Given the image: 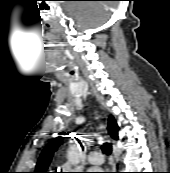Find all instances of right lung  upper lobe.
I'll return each instance as SVG.
<instances>
[{
	"label": "right lung upper lobe",
	"mask_w": 170,
	"mask_h": 173,
	"mask_svg": "<svg viewBox=\"0 0 170 173\" xmlns=\"http://www.w3.org/2000/svg\"><path fill=\"white\" fill-rule=\"evenodd\" d=\"M118 130L119 127L114 117L110 116L108 120V132L113 139H118ZM61 142L62 137H57L44 148L38 159L36 170L34 173H47V169L51 162L53 153L57 150Z\"/></svg>",
	"instance_id": "1"
}]
</instances>
